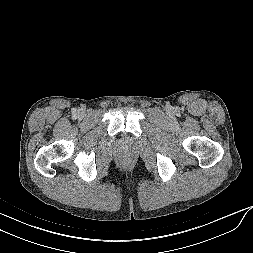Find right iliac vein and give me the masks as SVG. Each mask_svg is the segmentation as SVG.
Masks as SVG:
<instances>
[{
    "instance_id": "63e3f726",
    "label": "right iliac vein",
    "mask_w": 253,
    "mask_h": 253,
    "mask_svg": "<svg viewBox=\"0 0 253 253\" xmlns=\"http://www.w3.org/2000/svg\"><path fill=\"white\" fill-rule=\"evenodd\" d=\"M79 118H83L84 117V111L83 110H79L77 113Z\"/></svg>"
}]
</instances>
